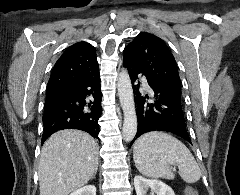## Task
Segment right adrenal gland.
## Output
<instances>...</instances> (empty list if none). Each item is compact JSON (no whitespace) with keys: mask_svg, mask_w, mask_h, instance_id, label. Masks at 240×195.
Masks as SVG:
<instances>
[{"mask_svg":"<svg viewBox=\"0 0 240 195\" xmlns=\"http://www.w3.org/2000/svg\"><path fill=\"white\" fill-rule=\"evenodd\" d=\"M95 175H92V179H94Z\"/></svg>","mask_w":240,"mask_h":195,"instance_id":"right-adrenal-gland-1","label":"right adrenal gland"}]
</instances>
